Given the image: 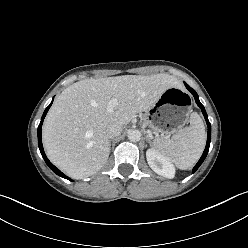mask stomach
Instances as JSON below:
<instances>
[{"label": "stomach", "mask_w": 248, "mask_h": 248, "mask_svg": "<svg viewBox=\"0 0 248 248\" xmlns=\"http://www.w3.org/2000/svg\"><path fill=\"white\" fill-rule=\"evenodd\" d=\"M191 109L190 97L180 87L168 88L158 101L145 111V124L158 135L155 140H167V135L181 130L188 122Z\"/></svg>", "instance_id": "obj_1"}]
</instances>
